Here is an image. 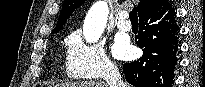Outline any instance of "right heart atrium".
<instances>
[{"label": "right heart atrium", "mask_w": 205, "mask_h": 87, "mask_svg": "<svg viewBox=\"0 0 205 87\" xmlns=\"http://www.w3.org/2000/svg\"><path fill=\"white\" fill-rule=\"evenodd\" d=\"M116 69L102 42H87L79 33L68 38L66 72L70 77L104 78L114 74Z\"/></svg>", "instance_id": "right-heart-atrium-1"}]
</instances>
